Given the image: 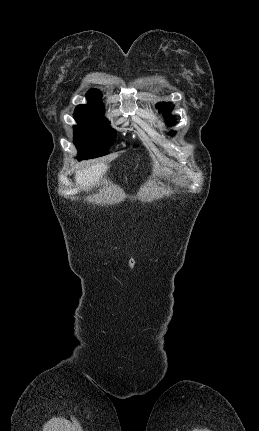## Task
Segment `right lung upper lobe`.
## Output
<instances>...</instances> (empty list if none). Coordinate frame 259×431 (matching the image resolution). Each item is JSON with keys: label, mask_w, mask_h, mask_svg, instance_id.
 <instances>
[{"label": "right lung upper lobe", "mask_w": 259, "mask_h": 431, "mask_svg": "<svg viewBox=\"0 0 259 431\" xmlns=\"http://www.w3.org/2000/svg\"><path fill=\"white\" fill-rule=\"evenodd\" d=\"M87 97H88V100H89V102H90L89 104H99V103H102V102L100 101L101 93H100V91H99V90H97V89H91V90L88 92Z\"/></svg>", "instance_id": "cb5924a9"}]
</instances>
